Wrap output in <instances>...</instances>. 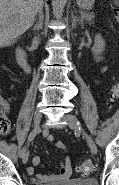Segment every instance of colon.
Wrapping results in <instances>:
<instances>
[{"label": "colon", "mask_w": 119, "mask_h": 185, "mask_svg": "<svg viewBox=\"0 0 119 185\" xmlns=\"http://www.w3.org/2000/svg\"><path fill=\"white\" fill-rule=\"evenodd\" d=\"M115 17L119 19V10L114 11ZM119 96V84L116 83L112 86L110 91V103H113ZM10 131V121L6 114L3 112L2 103H0V133L6 134ZM77 171L82 175H89L94 171V164L90 160L84 161L78 166Z\"/></svg>", "instance_id": "obj_1"}]
</instances>
